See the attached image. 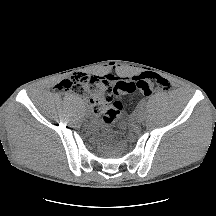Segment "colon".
<instances>
[{
	"mask_svg": "<svg viewBox=\"0 0 216 216\" xmlns=\"http://www.w3.org/2000/svg\"><path fill=\"white\" fill-rule=\"evenodd\" d=\"M58 88L90 99L94 110L102 112L103 122L111 125L122 116V95L138 91L147 97L155 89L168 91L170 84L165 78L156 74H142L132 80H119L114 84H111L105 76L76 74L62 80Z\"/></svg>",
	"mask_w": 216,
	"mask_h": 216,
	"instance_id": "colon-1",
	"label": "colon"
}]
</instances>
